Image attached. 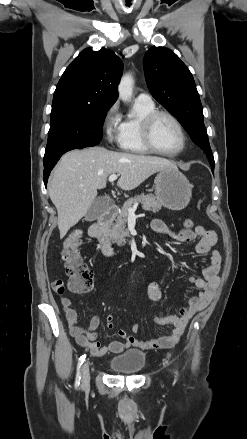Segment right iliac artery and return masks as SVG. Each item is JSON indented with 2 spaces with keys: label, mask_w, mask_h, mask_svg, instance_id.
<instances>
[{
  "label": "right iliac artery",
  "mask_w": 247,
  "mask_h": 439,
  "mask_svg": "<svg viewBox=\"0 0 247 439\" xmlns=\"http://www.w3.org/2000/svg\"><path fill=\"white\" fill-rule=\"evenodd\" d=\"M86 358V355L83 354L78 361V365H77V374H76V379H75V387L77 388L80 385V380H81V368H82V364L84 362Z\"/></svg>",
  "instance_id": "obj_1"
}]
</instances>
